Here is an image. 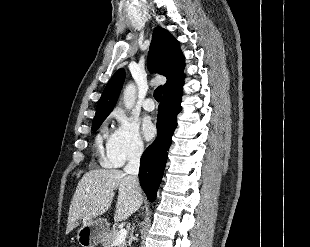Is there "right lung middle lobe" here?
Returning <instances> with one entry per match:
<instances>
[{"label":"right lung middle lobe","instance_id":"1","mask_svg":"<svg viewBox=\"0 0 310 247\" xmlns=\"http://www.w3.org/2000/svg\"><path fill=\"white\" fill-rule=\"evenodd\" d=\"M105 119H106V117H101V118L97 119L96 121H94L92 124V130L96 131Z\"/></svg>","mask_w":310,"mask_h":247}]
</instances>
